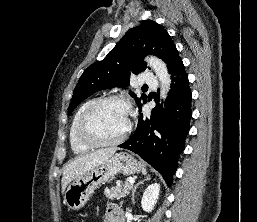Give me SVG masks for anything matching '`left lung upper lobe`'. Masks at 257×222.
Returning <instances> with one entry per match:
<instances>
[{
    "label": "left lung upper lobe",
    "instance_id": "left-lung-upper-lobe-1",
    "mask_svg": "<svg viewBox=\"0 0 257 222\" xmlns=\"http://www.w3.org/2000/svg\"><path fill=\"white\" fill-rule=\"evenodd\" d=\"M153 54L162 59L170 67L180 59L171 36L158 23L144 20L137 27L130 29L120 42L102 60L90 65L80 77L73 92L68 115L84 99L95 92L112 87L129 85L130 74H138L147 68L143 61L144 55ZM135 98L139 108L141 100L146 96Z\"/></svg>",
    "mask_w": 257,
    "mask_h": 222
}]
</instances>
